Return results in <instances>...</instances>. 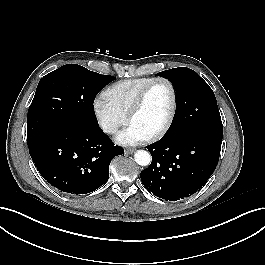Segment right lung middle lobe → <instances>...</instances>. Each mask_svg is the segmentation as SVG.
<instances>
[{"instance_id":"right-lung-middle-lobe-1","label":"right lung middle lobe","mask_w":265,"mask_h":265,"mask_svg":"<svg viewBox=\"0 0 265 265\" xmlns=\"http://www.w3.org/2000/svg\"><path fill=\"white\" fill-rule=\"evenodd\" d=\"M115 77L77 64H66L45 75L28 110L27 136L66 124L97 125L93 102Z\"/></svg>"}]
</instances>
